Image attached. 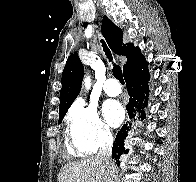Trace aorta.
<instances>
[{
	"mask_svg": "<svg viewBox=\"0 0 196 182\" xmlns=\"http://www.w3.org/2000/svg\"><path fill=\"white\" fill-rule=\"evenodd\" d=\"M83 84L86 87V89H90V87H91V79H90L89 76H86L84 78Z\"/></svg>",
	"mask_w": 196,
	"mask_h": 182,
	"instance_id": "1",
	"label": "aorta"
}]
</instances>
